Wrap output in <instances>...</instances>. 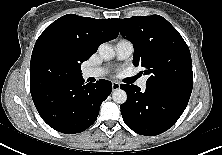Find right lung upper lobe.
<instances>
[{"instance_id":"obj_1","label":"right lung upper lobe","mask_w":222,"mask_h":155,"mask_svg":"<svg viewBox=\"0 0 222 155\" xmlns=\"http://www.w3.org/2000/svg\"><path fill=\"white\" fill-rule=\"evenodd\" d=\"M118 30L113 19H94L67 14L49 25L37 39L30 62L32 93L82 76L81 63L99 45L115 39Z\"/></svg>"}]
</instances>
